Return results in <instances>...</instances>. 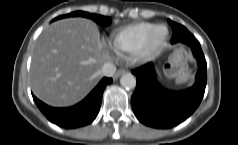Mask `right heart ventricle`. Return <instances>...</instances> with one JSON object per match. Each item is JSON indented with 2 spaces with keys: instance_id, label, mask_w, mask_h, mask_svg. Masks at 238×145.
<instances>
[{
  "instance_id": "e07e8e85",
  "label": "right heart ventricle",
  "mask_w": 238,
  "mask_h": 145,
  "mask_svg": "<svg viewBox=\"0 0 238 145\" xmlns=\"http://www.w3.org/2000/svg\"><path fill=\"white\" fill-rule=\"evenodd\" d=\"M154 26L150 22H139L117 29L109 37V46L119 56L133 53Z\"/></svg>"
}]
</instances>
